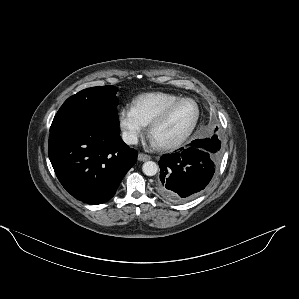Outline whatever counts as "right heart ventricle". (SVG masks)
<instances>
[{
	"mask_svg": "<svg viewBox=\"0 0 299 299\" xmlns=\"http://www.w3.org/2000/svg\"><path fill=\"white\" fill-rule=\"evenodd\" d=\"M179 98L178 95L166 92L145 93L133 100L132 108L137 116L148 125L168 104Z\"/></svg>",
	"mask_w": 299,
	"mask_h": 299,
	"instance_id": "obj_1",
	"label": "right heart ventricle"
}]
</instances>
